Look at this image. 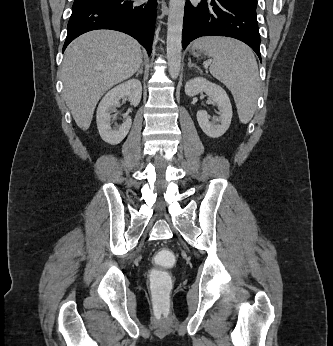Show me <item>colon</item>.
<instances>
[{
	"instance_id": "1",
	"label": "colon",
	"mask_w": 333,
	"mask_h": 346,
	"mask_svg": "<svg viewBox=\"0 0 333 346\" xmlns=\"http://www.w3.org/2000/svg\"><path fill=\"white\" fill-rule=\"evenodd\" d=\"M174 249H161L156 257H153L151 272V299L153 309L159 315L164 314L169 307V294L171 288H175V281L166 271H173L175 267Z\"/></svg>"
}]
</instances>
